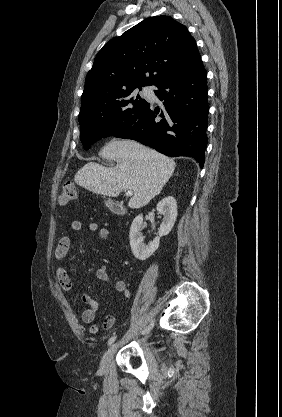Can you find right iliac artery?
Segmentation results:
<instances>
[{
  "label": "right iliac artery",
  "mask_w": 282,
  "mask_h": 417,
  "mask_svg": "<svg viewBox=\"0 0 282 417\" xmlns=\"http://www.w3.org/2000/svg\"><path fill=\"white\" fill-rule=\"evenodd\" d=\"M151 326H152V324H151ZM151 326H149V328L148 329H150L151 328ZM115 339H116V336L114 335V336H112L109 340H108V345H111L114 341H115Z\"/></svg>",
  "instance_id": "82829eb1"
}]
</instances>
